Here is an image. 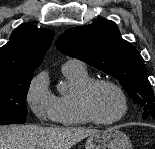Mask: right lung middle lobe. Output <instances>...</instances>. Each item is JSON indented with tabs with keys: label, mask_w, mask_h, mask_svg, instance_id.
Masks as SVG:
<instances>
[{
	"label": "right lung middle lobe",
	"mask_w": 155,
	"mask_h": 149,
	"mask_svg": "<svg viewBox=\"0 0 155 149\" xmlns=\"http://www.w3.org/2000/svg\"><path fill=\"white\" fill-rule=\"evenodd\" d=\"M33 74L0 77V125L26 122V96Z\"/></svg>",
	"instance_id": "1"
}]
</instances>
